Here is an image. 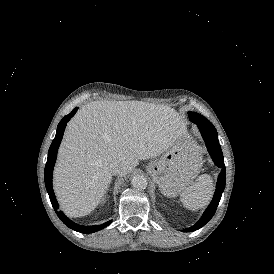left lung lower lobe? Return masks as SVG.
Listing matches in <instances>:
<instances>
[{"mask_svg":"<svg viewBox=\"0 0 274 274\" xmlns=\"http://www.w3.org/2000/svg\"><path fill=\"white\" fill-rule=\"evenodd\" d=\"M190 121L195 123L199 130L201 131V134L205 140L206 146L208 148V151L214 161V163L221 168V172L218 176V182L216 184V190L213 197V200L211 201L210 205L204 212L201 219L192 227L183 230L184 232H192L195 231L202 226H204L215 214V211L217 209V206L219 204V201L221 199L222 193L225 188V166H224V160H223V153L220 148V144L218 141V134L211 122H209L204 116L195 113V112H189L188 113Z\"/></svg>","mask_w":274,"mask_h":274,"instance_id":"0a47b994","label":"left lung lower lobe"}]
</instances>
